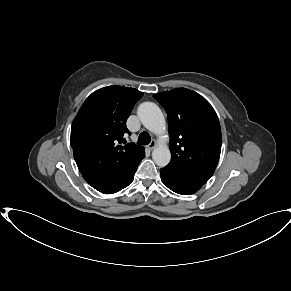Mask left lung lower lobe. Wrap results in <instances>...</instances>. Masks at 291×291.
<instances>
[{
  "label": "left lung lower lobe",
  "mask_w": 291,
  "mask_h": 291,
  "mask_svg": "<svg viewBox=\"0 0 291 291\" xmlns=\"http://www.w3.org/2000/svg\"><path fill=\"white\" fill-rule=\"evenodd\" d=\"M160 174L163 183L169 189L181 195L193 194L202 187V185L182 177L166 167L160 169Z\"/></svg>",
  "instance_id": "obj_1"
}]
</instances>
